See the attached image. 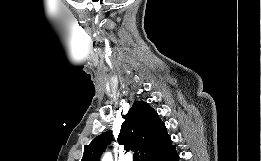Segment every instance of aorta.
<instances>
[{
	"label": "aorta",
	"instance_id": "obj_1",
	"mask_svg": "<svg viewBox=\"0 0 261 161\" xmlns=\"http://www.w3.org/2000/svg\"><path fill=\"white\" fill-rule=\"evenodd\" d=\"M101 161H113L111 153H105Z\"/></svg>",
	"mask_w": 261,
	"mask_h": 161
}]
</instances>
